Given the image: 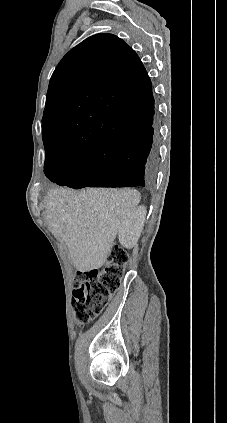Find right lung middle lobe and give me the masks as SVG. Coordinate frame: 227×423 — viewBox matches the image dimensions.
<instances>
[{
	"mask_svg": "<svg viewBox=\"0 0 227 423\" xmlns=\"http://www.w3.org/2000/svg\"><path fill=\"white\" fill-rule=\"evenodd\" d=\"M44 146L46 153L45 163H49L51 161H63L65 159L68 161H73L81 158L85 152L72 149L55 142L44 141Z\"/></svg>",
	"mask_w": 227,
	"mask_h": 423,
	"instance_id": "1",
	"label": "right lung middle lobe"
}]
</instances>
